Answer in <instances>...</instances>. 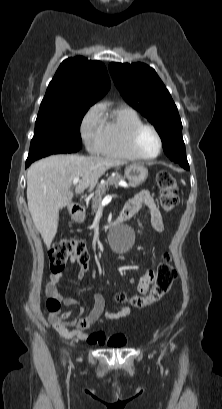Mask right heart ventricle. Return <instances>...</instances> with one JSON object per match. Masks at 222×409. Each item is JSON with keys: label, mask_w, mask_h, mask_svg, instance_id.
<instances>
[{"label": "right heart ventricle", "mask_w": 222, "mask_h": 409, "mask_svg": "<svg viewBox=\"0 0 222 409\" xmlns=\"http://www.w3.org/2000/svg\"><path fill=\"white\" fill-rule=\"evenodd\" d=\"M102 118L103 134L98 153L117 160H139L129 146L131 132L143 124L139 113L130 106L117 105L103 110Z\"/></svg>", "instance_id": "1"}]
</instances>
